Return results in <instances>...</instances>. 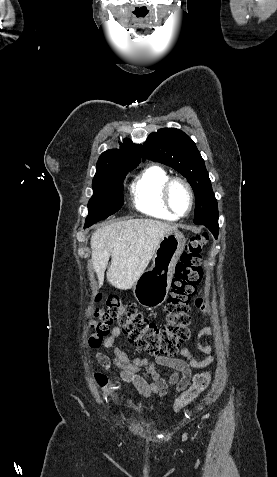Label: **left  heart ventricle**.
<instances>
[{
	"label": "left heart ventricle",
	"instance_id": "b2bd125f",
	"mask_svg": "<svg viewBox=\"0 0 277 477\" xmlns=\"http://www.w3.org/2000/svg\"><path fill=\"white\" fill-rule=\"evenodd\" d=\"M170 200L173 208L179 214H185L189 208V195L186 188L179 183L172 186Z\"/></svg>",
	"mask_w": 277,
	"mask_h": 477
}]
</instances>
